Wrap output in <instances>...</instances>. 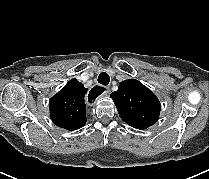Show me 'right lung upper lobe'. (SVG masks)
I'll return each instance as SVG.
<instances>
[{
  "instance_id": "1",
  "label": "right lung upper lobe",
  "mask_w": 209,
  "mask_h": 179,
  "mask_svg": "<svg viewBox=\"0 0 209 179\" xmlns=\"http://www.w3.org/2000/svg\"><path fill=\"white\" fill-rule=\"evenodd\" d=\"M87 90L74 78L50 99V118L56 126L76 130L85 125Z\"/></svg>"
}]
</instances>
